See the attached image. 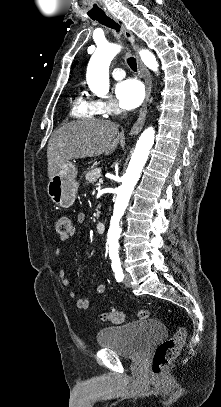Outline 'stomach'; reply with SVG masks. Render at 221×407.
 Segmentation results:
<instances>
[{"mask_svg": "<svg viewBox=\"0 0 221 407\" xmlns=\"http://www.w3.org/2000/svg\"><path fill=\"white\" fill-rule=\"evenodd\" d=\"M77 173L75 164L68 161L50 179L47 192L56 205L69 208L74 204L78 191Z\"/></svg>", "mask_w": 221, "mask_h": 407, "instance_id": "0dacf381", "label": "stomach"}]
</instances>
